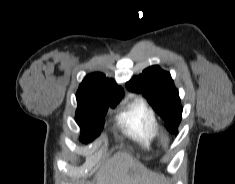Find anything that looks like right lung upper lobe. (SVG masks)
Segmentation results:
<instances>
[{
  "label": "right lung upper lobe",
  "mask_w": 235,
  "mask_h": 184,
  "mask_svg": "<svg viewBox=\"0 0 235 184\" xmlns=\"http://www.w3.org/2000/svg\"><path fill=\"white\" fill-rule=\"evenodd\" d=\"M123 96V89L102 73L87 75L76 94L80 103L92 107L118 104Z\"/></svg>",
  "instance_id": "right-lung-upper-lobe-1"
}]
</instances>
